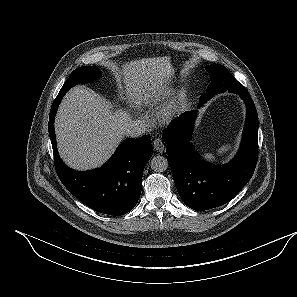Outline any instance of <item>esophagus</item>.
I'll use <instances>...</instances> for the list:
<instances>
[{"label":"esophagus","mask_w":297,"mask_h":297,"mask_svg":"<svg viewBox=\"0 0 297 297\" xmlns=\"http://www.w3.org/2000/svg\"><path fill=\"white\" fill-rule=\"evenodd\" d=\"M153 148L155 151L162 153L165 149L164 143L160 138L153 141Z\"/></svg>","instance_id":"34e87169"}]
</instances>
